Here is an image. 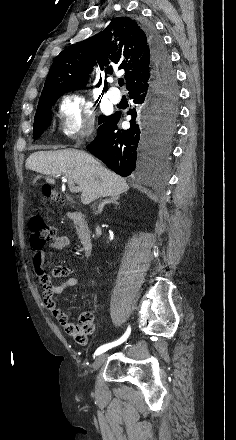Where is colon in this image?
Wrapping results in <instances>:
<instances>
[{"label": "colon", "instance_id": "colon-1", "mask_svg": "<svg viewBox=\"0 0 236 440\" xmlns=\"http://www.w3.org/2000/svg\"><path fill=\"white\" fill-rule=\"evenodd\" d=\"M46 194H50L48 188L44 189ZM30 245L33 249H42L48 242L55 238V228L44 220L38 214H34L29 219L28 223Z\"/></svg>", "mask_w": 236, "mask_h": 440}]
</instances>
